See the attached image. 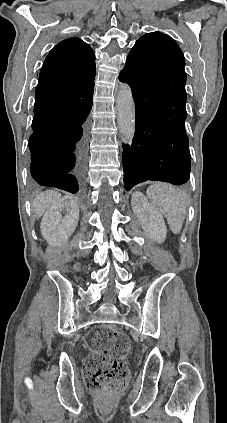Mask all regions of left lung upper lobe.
<instances>
[{"label":"left lung upper lobe","mask_w":227,"mask_h":423,"mask_svg":"<svg viewBox=\"0 0 227 423\" xmlns=\"http://www.w3.org/2000/svg\"><path fill=\"white\" fill-rule=\"evenodd\" d=\"M184 56L168 35L152 32L138 39L119 75L134 89L148 95L147 101L159 112H186Z\"/></svg>","instance_id":"5c2ea615"}]
</instances>
